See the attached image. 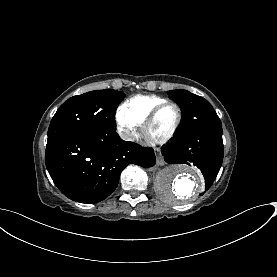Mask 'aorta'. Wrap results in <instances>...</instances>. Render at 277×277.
<instances>
[{
	"mask_svg": "<svg viewBox=\"0 0 277 277\" xmlns=\"http://www.w3.org/2000/svg\"><path fill=\"white\" fill-rule=\"evenodd\" d=\"M155 187L167 203H184L198 197L204 190L203 177L198 170L186 165H170L161 170Z\"/></svg>",
	"mask_w": 277,
	"mask_h": 277,
	"instance_id": "aorta-1",
	"label": "aorta"
}]
</instances>
